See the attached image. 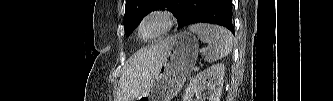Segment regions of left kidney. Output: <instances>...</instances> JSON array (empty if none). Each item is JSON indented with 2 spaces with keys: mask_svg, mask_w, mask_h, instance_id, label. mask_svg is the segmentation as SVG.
I'll list each match as a JSON object with an SVG mask.
<instances>
[{
  "mask_svg": "<svg viewBox=\"0 0 333 101\" xmlns=\"http://www.w3.org/2000/svg\"><path fill=\"white\" fill-rule=\"evenodd\" d=\"M225 66L222 63L212 65L193 77L187 87L183 101H193L194 94L198 101H204L201 92L208 91V101H219L224 82ZM208 79V81H207Z\"/></svg>",
  "mask_w": 333,
  "mask_h": 101,
  "instance_id": "obj_1",
  "label": "left kidney"
}]
</instances>
